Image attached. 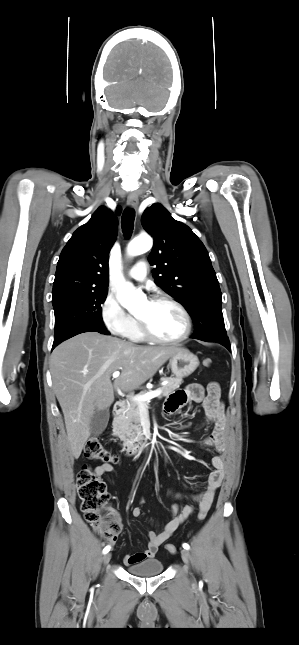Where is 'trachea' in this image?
I'll list each match as a JSON object with an SVG mask.
<instances>
[{
  "label": "trachea",
  "instance_id": "trachea-1",
  "mask_svg": "<svg viewBox=\"0 0 299 645\" xmlns=\"http://www.w3.org/2000/svg\"><path fill=\"white\" fill-rule=\"evenodd\" d=\"M135 211L132 208H126L122 215L121 227L126 237H130L134 228Z\"/></svg>",
  "mask_w": 299,
  "mask_h": 645
}]
</instances>
